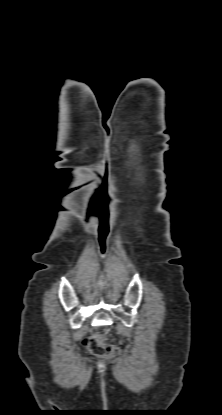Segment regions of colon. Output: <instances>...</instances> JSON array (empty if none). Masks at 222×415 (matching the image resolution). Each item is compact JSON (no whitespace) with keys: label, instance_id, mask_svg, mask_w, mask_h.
<instances>
[{"label":"colon","instance_id":"colon-1","mask_svg":"<svg viewBox=\"0 0 222 415\" xmlns=\"http://www.w3.org/2000/svg\"><path fill=\"white\" fill-rule=\"evenodd\" d=\"M83 345L94 355L105 356L117 351L114 344L106 342L99 336H90L82 340Z\"/></svg>","mask_w":222,"mask_h":415}]
</instances>
